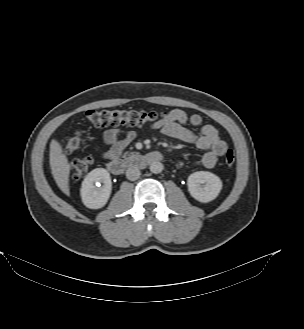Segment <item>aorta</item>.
<instances>
[{
  "mask_svg": "<svg viewBox=\"0 0 304 329\" xmlns=\"http://www.w3.org/2000/svg\"><path fill=\"white\" fill-rule=\"evenodd\" d=\"M150 171L154 174H158L163 170V164L161 162L154 161L150 164Z\"/></svg>",
  "mask_w": 304,
  "mask_h": 329,
  "instance_id": "1",
  "label": "aorta"
}]
</instances>
